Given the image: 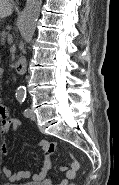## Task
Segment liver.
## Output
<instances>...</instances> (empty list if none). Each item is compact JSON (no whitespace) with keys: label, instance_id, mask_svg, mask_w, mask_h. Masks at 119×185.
I'll list each match as a JSON object with an SVG mask.
<instances>
[{"label":"liver","instance_id":"6515ba94","mask_svg":"<svg viewBox=\"0 0 119 185\" xmlns=\"http://www.w3.org/2000/svg\"><path fill=\"white\" fill-rule=\"evenodd\" d=\"M11 0H0V18H5L12 14Z\"/></svg>","mask_w":119,"mask_h":185}]
</instances>
